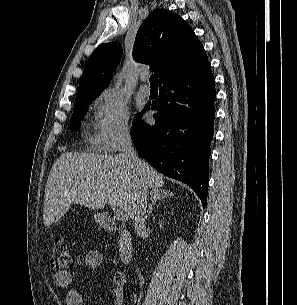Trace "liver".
<instances>
[{
    "label": "liver",
    "mask_w": 297,
    "mask_h": 305,
    "mask_svg": "<svg viewBox=\"0 0 297 305\" xmlns=\"http://www.w3.org/2000/svg\"><path fill=\"white\" fill-rule=\"evenodd\" d=\"M146 185L153 190L164 186L163 176L143 162ZM135 179L122 154L102 155L65 152L49 173L44 195V226L58 222L72 204L101 209L107 203L122 207L134 217Z\"/></svg>",
    "instance_id": "6515ba94"
}]
</instances>
